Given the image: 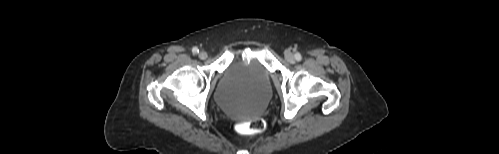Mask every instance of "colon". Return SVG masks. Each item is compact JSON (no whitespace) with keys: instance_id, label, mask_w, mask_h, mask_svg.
I'll return each mask as SVG.
<instances>
[{"instance_id":"colon-1","label":"colon","mask_w":499,"mask_h":154,"mask_svg":"<svg viewBox=\"0 0 499 154\" xmlns=\"http://www.w3.org/2000/svg\"><path fill=\"white\" fill-rule=\"evenodd\" d=\"M265 123L262 119L256 118L246 123L237 125V131L243 134H253L263 131Z\"/></svg>"}]
</instances>
